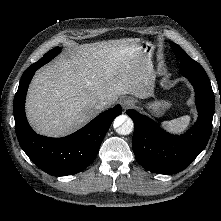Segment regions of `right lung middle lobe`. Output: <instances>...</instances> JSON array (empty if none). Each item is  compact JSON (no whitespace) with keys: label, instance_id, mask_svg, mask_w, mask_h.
<instances>
[{"label":"right lung middle lobe","instance_id":"dd1d6c3e","mask_svg":"<svg viewBox=\"0 0 221 221\" xmlns=\"http://www.w3.org/2000/svg\"><path fill=\"white\" fill-rule=\"evenodd\" d=\"M60 52V48L56 47L52 50H50L48 53H46L38 62L36 63H42L45 64L49 62L53 57H55Z\"/></svg>","mask_w":221,"mask_h":221}]
</instances>
